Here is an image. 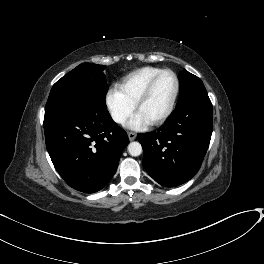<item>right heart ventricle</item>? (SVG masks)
<instances>
[{
	"label": "right heart ventricle",
	"mask_w": 264,
	"mask_h": 264,
	"mask_svg": "<svg viewBox=\"0 0 264 264\" xmlns=\"http://www.w3.org/2000/svg\"><path fill=\"white\" fill-rule=\"evenodd\" d=\"M161 70L163 69L157 67H143L137 69L124 76L118 88L135 104L151 78Z\"/></svg>",
	"instance_id": "right-heart-ventricle-1"
}]
</instances>
